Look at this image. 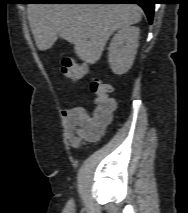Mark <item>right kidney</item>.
I'll use <instances>...</instances> for the list:
<instances>
[{
	"label": "right kidney",
	"instance_id": "ca27d5eb",
	"mask_svg": "<svg viewBox=\"0 0 188 213\" xmlns=\"http://www.w3.org/2000/svg\"><path fill=\"white\" fill-rule=\"evenodd\" d=\"M139 34L138 27L126 26L112 38L108 61L115 74H124L131 68L138 48Z\"/></svg>",
	"mask_w": 188,
	"mask_h": 213
}]
</instances>
